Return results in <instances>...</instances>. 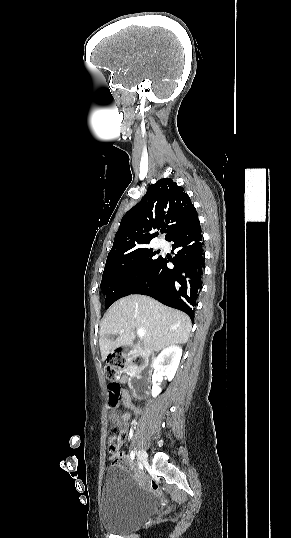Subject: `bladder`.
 I'll use <instances>...</instances> for the list:
<instances>
[{
    "label": "bladder",
    "instance_id": "31cf9c89",
    "mask_svg": "<svg viewBox=\"0 0 291 538\" xmlns=\"http://www.w3.org/2000/svg\"><path fill=\"white\" fill-rule=\"evenodd\" d=\"M155 507L153 499L129 470L122 466L106 470L100 496V519L106 530L132 531L154 513Z\"/></svg>",
    "mask_w": 291,
    "mask_h": 538
}]
</instances>
